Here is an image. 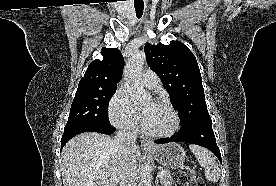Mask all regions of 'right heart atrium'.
I'll return each mask as SVG.
<instances>
[{
	"instance_id": "obj_1",
	"label": "right heart atrium",
	"mask_w": 276,
	"mask_h": 186,
	"mask_svg": "<svg viewBox=\"0 0 276 186\" xmlns=\"http://www.w3.org/2000/svg\"><path fill=\"white\" fill-rule=\"evenodd\" d=\"M108 116L116 128L125 132L136 133L139 129L137 114L124 87H119L111 97Z\"/></svg>"
}]
</instances>
